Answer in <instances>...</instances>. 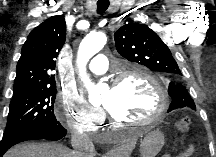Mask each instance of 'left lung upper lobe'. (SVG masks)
<instances>
[{
	"label": "left lung upper lobe",
	"mask_w": 216,
	"mask_h": 157,
	"mask_svg": "<svg viewBox=\"0 0 216 157\" xmlns=\"http://www.w3.org/2000/svg\"><path fill=\"white\" fill-rule=\"evenodd\" d=\"M114 40L118 53L128 61L173 77L181 75L179 64L172 56V49L147 25L125 24L114 33ZM168 93L172 98L171 104L178 102L184 104V107L196 109L187 90L176 81L169 83Z\"/></svg>",
	"instance_id": "5c2ea615"
}]
</instances>
